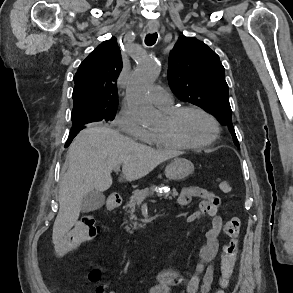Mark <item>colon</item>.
Here are the masks:
<instances>
[{"label": "colon", "mask_w": 293, "mask_h": 293, "mask_svg": "<svg viewBox=\"0 0 293 293\" xmlns=\"http://www.w3.org/2000/svg\"><path fill=\"white\" fill-rule=\"evenodd\" d=\"M219 187L224 192L229 194L231 188L225 181H219ZM224 234L229 238V241L223 247L220 259V288L216 293H224V288L228 285L229 279L233 273L237 255H238V236L240 232V220L232 218L224 224ZM99 234V227L93 216H82L74 227L55 245V253L59 256L72 253L82 243L92 240ZM101 271L98 268H93L89 276L91 280L98 281L101 278ZM103 287L97 288V293H103Z\"/></svg>", "instance_id": "5ec220e1"}]
</instances>
